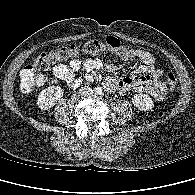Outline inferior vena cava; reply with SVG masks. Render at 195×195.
<instances>
[{
  "instance_id": "602c4592",
  "label": "inferior vena cava",
  "mask_w": 195,
  "mask_h": 195,
  "mask_svg": "<svg viewBox=\"0 0 195 195\" xmlns=\"http://www.w3.org/2000/svg\"><path fill=\"white\" fill-rule=\"evenodd\" d=\"M92 89L90 87H84L80 90V93L82 96H88L90 94H92Z\"/></svg>"
}]
</instances>
